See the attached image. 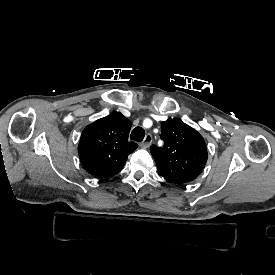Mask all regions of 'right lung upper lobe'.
Masks as SVG:
<instances>
[{"mask_svg": "<svg viewBox=\"0 0 275 275\" xmlns=\"http://www.w3.org/2000/svg\"><path fill=\"white\" fill-rule=\"evenodd\" d=\"M131 122L120 112L86 126L78 145L84 169L98 179H109L123 168L137 144L128 140Z\"/></svg>", "mask_w": 275, "mask_h": 275, "instance_id": "1", "label": "right lung upper lobe"}]
</instances>
